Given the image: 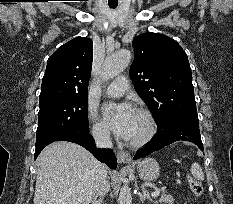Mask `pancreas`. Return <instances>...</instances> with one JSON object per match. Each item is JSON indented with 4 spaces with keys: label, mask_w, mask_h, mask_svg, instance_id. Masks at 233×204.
I'll use <instances>...</instances> for the list:
<instances>
[{
    "label": "pancreas",
    "mask_w": 233,
    "mask_h": 204,
    "mask_svg": "<svg viewBox=\"0 0 233 204\" xmlns=\"http://www.w3.org/2000/svg\"><path fill=\"white\" fill-rule=\"evenodd\" d=\"M159 202H162L164 204H173L174 199H173L172 195H170L166 192H162L160 195Z\"/></svg>",
    "instance_id": "1"
}]
</instances>
